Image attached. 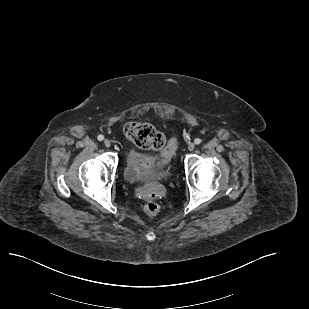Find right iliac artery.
Segmentation results:
<instances>
[{
  "mask_svg": "<svg viewBox=\"0 0 309 309\" xmlns=\"http://www.w3.org/2000/svg\"><path fill=\"white\" fill-rule=\"evenodd\" d=\"M97 139H98L99 141H102V140L104 139V136H103V135H98Z\"/></svg>",
  "mask_w": 309,
  "mask_h": 309,
  "instance_id": "right-iliac-artery-1",
  "label": "right iliac artery"
}]
</instances>
